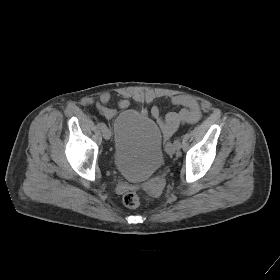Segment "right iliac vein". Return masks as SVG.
<instances>
[{
    "label": "right iliac vein",
    "instance_id": "obj_1",
    "mask_svg": "<svg viewBox=\"0 0 280 280\" xmlns=\"http://www.w3.org/2000/svg\"><path fill=\"white\" fill-rule=\"evenodd\" d=\"M102 135L106 140H108L111 137V131L107 127H105L102 129Z\"/></svg>",
    "mask_w": 280,
    "mask_h": 280
}]
</instances>
